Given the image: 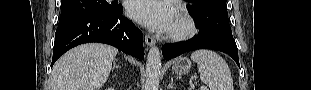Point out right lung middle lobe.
<instances>
[{"mask_svg":"<svg viewBox=\"0 0 311 90\" xmlns=\"http://www.w3.org/2000/svg\"><path fill=\"white\" fill-rule=\"evenodd\" d=\"M115 2L106 0H61L60 23L73 17L92 13H111L118 9Z\"/></svg>","mask_w":311,"mask_h":90,"instance_id":"dd1d6c3e","label":"right lung middle lobe"}]
</instances>
